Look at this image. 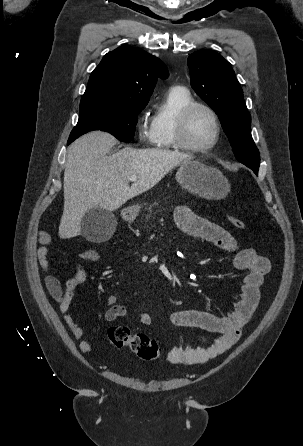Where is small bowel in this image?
Returning a JSON list of instances; mask_svg holds the SVG:
<instances>
[{
    "instance_id": "1",
    "label": "small bowel",
    "mask_w": 303,
    "mask_h": 446,
    "mask_svg": "<svg viewBox=\"0 0 303 446\" xmlns=\"http://www.w3.org/2000/svg\"><path fill=\"white\" fill-rule=\"evenodd\" d=\"M174 219L181 232L211 242L219 248L233 253V266L240 271L247 272L241 297L231 313L218 316L207 311L181 310L171 314L170 319L174 325L198 329L213 335L210 337L201 336L202 340L208 343L207 347L184 348L177 346L172 348L167 354V360L182 365L201 364L224 353L237 342L259 303L260 287L265 275L270 270V262L252 248H240L235 238L223 227L196 215L188 207H178ZM38 241L36 258L46 274V288L59 304L60 313L72 336L80 340L79 349L84 353L91 352L93 345L83 339L85 333L83 327L74 321L69 312L75 290L87 280L88 274L82 266L74 265L75 275L68 279L63 287L61 281L49 273L48 247L52 243L51 236L48 233H40ZM106 306L104 316L108 322L124 317L127 313L126 308L118 304L117 295L108 296ZM139 320L141 324L148 326L152 323V316L149 312L143 311L139 315Z\"/></svg>"
}]
</instances>
